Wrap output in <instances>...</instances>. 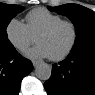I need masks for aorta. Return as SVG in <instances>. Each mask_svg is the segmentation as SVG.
<instances>
[{
    "label": "aorta",
    "instance_id": "obj_1",
    "mask_svg": "<svg viewBox=\"0 0 95 95\" xmlns=\"http://www.w3.org/2000/svg\"><path fill=\"white\" fill-rule=\"evenodd\" d=\"M52 68L47 63H40L35 68V75L40 80H48L51 77Z\"/></svg>",
    "mask_w": 95,
    "mask_h": 95
}]
</instances>
